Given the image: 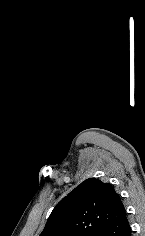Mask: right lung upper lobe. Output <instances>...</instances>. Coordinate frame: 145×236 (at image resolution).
<instances>
[{
  "instance_id": "1",
  "label": "right lung upper lobe",
  "mask_w": 145,
  "mask_h": 236,
  "mask_svg": "<svg viewBox=\"0 0 145 236\" xmlns=\"http://www.w3.org/2000/svg\"><path fill=\"white\" fill-rule=\"evenodd\" d=\"M125 213L112 185L87 179L55 206L40 236H96Z\"/></svg>"
}]
</instances>
